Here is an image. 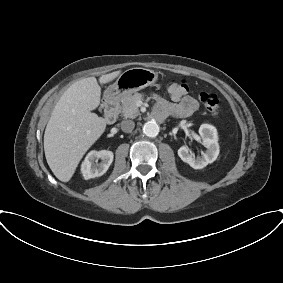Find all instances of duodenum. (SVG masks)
I'll use <instances>...</instances> for the list:
<instances>
[{
  "mask_svg": "<svg viewBox=\"0 0 283 283\" xmlns=\"http://www.w3.org/2000/svg\"><path fill=\"white\" fill-rule=\"evenodd\" d=\"M117 104H118V97L116 95H111L106 98L105 100V113L104 118L106 122L113 123L117 118ZM153 117L157 120H162L163 117L154 113Z\"/></svg>",
  "mask_w": 283,
  "mask_h": 283,
  "instance_id": "obj_1",
  "label": "duodenum"
}]
</instances>
